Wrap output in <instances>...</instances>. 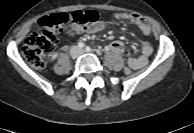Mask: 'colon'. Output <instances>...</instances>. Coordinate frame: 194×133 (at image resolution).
I'll return each mask as SVG.
<instances>
[{
	"instance_id": "colon-1",
	"label": "colon",
	"mask_w": 194,
	"mask_h": 133,
	"mask_svg": "<svg viewBox=\"0 0 194 133\" xmlns=\"http://www.w3.org/2000/svg\"><path fill=\"white\" fill-rule=\"evenodd\" d=\"M101 16L94 10L74 11L68 13H55L44 16L39 20L43 28L41 32L30 34L24 41L22 53L27 63L36 69L43 68L47 56L53 51L57 44V35L62 27L71 24L77 31H82L88 26L100 23ZM125 76L133 77L134 68L127 66Z\"/></svg>"
}]
</instances>
